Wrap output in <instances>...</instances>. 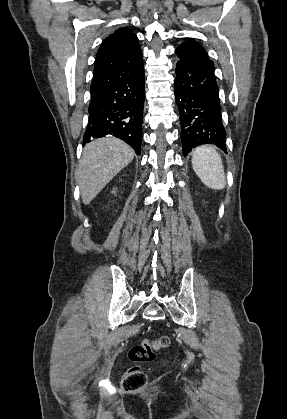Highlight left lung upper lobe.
I'll return each mask as SVG.
<instances>
[{
  "mask_svg": "<svg viewBox=\"0 0 287 419\" xmlns=\"http://www.w3.org/2000/svg\"><path fill=\"white\" fill-rule=\"evenodd\" d=\"M176 54L180 61H187L192 64H212L206 51L195 41L189 40L182 43L177 49Z\"/></svg>",
  "mask_w": 287,
  "mask_h": 419,
  "instance_id": "5c2ea615",
  "label": "left lung upper lobe"
}]
</instances>
